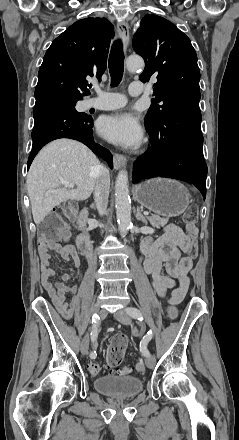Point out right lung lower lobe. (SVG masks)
Instances as JSON below:
<instances>
[{
	"label": "right lung lower lobe",
	"instance_id": "98d812e1",
	"mask_svg": "<svg viewBox=\"0 0 239 440\" xmlns=\"http://www.w3.org/2000/svg\"><path fill=\"white\" fill-rule=\"evenodd\" d=\"M33 116V147L28 158V167L45 144L59 138H71L84 143L113 167L109 150L93 141L92 117L78 113L75 105L56 98L36 100Z\"/></svg>",
	"mask_w": 239,
	"mask_h": 440
}]
</instances>
